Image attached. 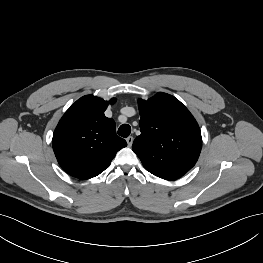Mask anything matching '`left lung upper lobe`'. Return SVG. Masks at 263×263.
<instances>
[{"instance_id": "5c2ea615", "label": "left lung upper lobe", "mask_w": 263, "mask_h": 263, "mask_svg": "<svg viewBox=\"0 0 263 263\" xmlns=\"http://www.w3.org/2000/svg\"><path fill=\"white\" fill-rule=\"evenodd\" d=\"M141 134L132 149L147 171L163 177L168 171L186 174L197 162L202 137L188 109L175 97L159 92L138 101Z\"/></svg>"}]
</instances>
